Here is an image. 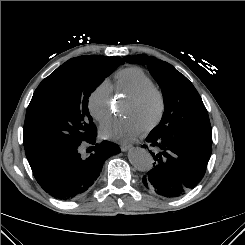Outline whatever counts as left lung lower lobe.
Returning a JSON list of instances; mask_svg holds the SVG:
<instances>
[{
  "mask_svg": "<svg viewBox=\"0 0 245 245\" xmlns=\"http://www.w3.org/2000/svg\"><path fill=\"white\" fill-rule=\"evenodd\" d=\"M156 152L149 151L156 161L143 176L147 188L165 197H179L194 188L203 178L211 156V146L204 140L186 134L150 133L146 139ZM147 147V145H143Z\"/></svg>",
  "mask_w": 245,
  "mask_h": 245,
  "instance_id": "1",
  "label": "left lung lower lobe"
}]
</instances>
